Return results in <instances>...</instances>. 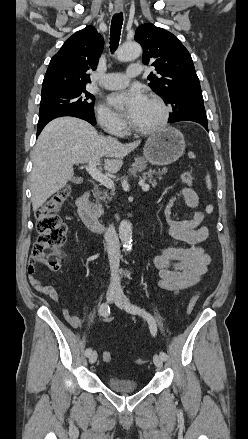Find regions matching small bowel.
<instances>
[{
  "label": "small bowel",
  "mask_w": 248,
  "mask_h": 439,
  "mask_svg": "<svg viewBox=\"0 0 248 439\" xmlns=\"http://www.w3.org/2000/svg\"><path fill=\"white\" fill-rule=\"evenodd\" d=\"M177 196H182L191 208L199 205L198 195L190 188L181 189ZM175 197L169 199L164 209V217L168 225L166 235L191 246L186 248H163L153 258V264L158 270V285L173 295H177L200 282L203 275L208 271L211 262L210 255L206 253L202 246L198 245L209 236L208 227L202 224L204 213L197 211L192 218L185 220L172 219L171 207ZM27 270L29 282L33 288L58 303L60 298L56 289L51 285H44L36 277L37 260L34 256L30 258ZM62 312L66 321L73 327H77L83 320L77 314L70 312L65 306L62 308ZM106 320H110V318Z\"/></svg>",
  "instance_id": "1"
}]
</instances>
